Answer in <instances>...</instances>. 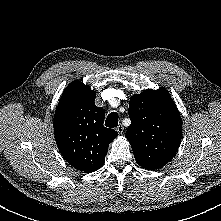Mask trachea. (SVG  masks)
Returning <instances> with one entry per match:
<instances>
[{
    "label": "trachea",
    "instance_id": "obj_1",
    "mask_svg": "<svg viewBox=\"0 0 221 221\" xmlns=\"http://www.w3.org/2000/svg\"><path fill=\"white\" fill-rule=\"evenodd\" d=\"M105 125L110 128H114L118 125V114L116 112H112L108 115Z\"/></svg>",
    "mask_w": 221,
    "mask_h": 221
}]
</instances>
